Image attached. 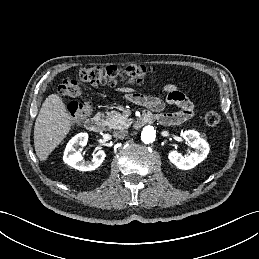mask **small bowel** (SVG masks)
<instances>
[{"mask_svg":"<svg viewBox=\"0 0 259 259\" xmlns=\"http://www.w3.org/2000/svg\"><path fill=\"white\" fill-rule=\"evenodd\" d=\"M125 98L137 105L147 107L155 112V120L162 125H176L190 119L194 114V105L189 97L176 85L167 84L163 91L167 93L166 101L154 96L134 92L132 89H121ZM166 105H174L180 108L177 112L162 113Z\"/></svg>","mask_w":259,"mask_h":259,"instance_id":"1","label":"small bowel"}]
</instances>
